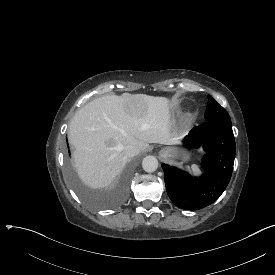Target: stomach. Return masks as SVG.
Returning <instances> with one entry per match:
<instances>
[{"label": "stomach", "mask_w": 275, "mask_h": 275, "mask_svg": "<svg viewBox=\"0 0 275 275\" xmlns=\"http://www.w3.org/2000/svg\"><path fill=\"white\" fill-rule=\"evenodd\" d=\"M160 156L163 159L171 158L173 161L179 163H187L191 159V153L181 146H168L161 150Z\"/></svg>", "instance_id": "0dacf381"}]
</instances>
